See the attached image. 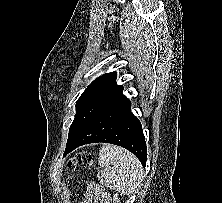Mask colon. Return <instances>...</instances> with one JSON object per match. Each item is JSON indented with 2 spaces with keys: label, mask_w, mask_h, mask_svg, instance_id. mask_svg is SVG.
<instances>
[{
  "label": "colon",
  "mask_w": 222,
  "mask_h": 203,
  "mask_svg": "<svg viewBox=\"0 0 222 203\" xmlns=\"http://www.w3.org/2000/svg\"><path fill=\"white\" fill-rule=\"evenodd\" d=\"M92 161V155L90 152L83 151L76 155V157L70 161L67 165L68 170H73L76 164H88ZM115 203H119V199L115 197Z\"/></svg>",
  "instance_id": "colon-1"
}]
</instances>
